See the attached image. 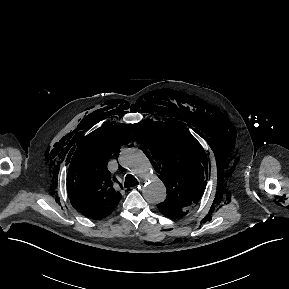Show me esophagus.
<instances>
[{"label":"esophagus","instance_id":"obj_1","mask_svg":"<svg viewBox=\"0 0 289 289\" xmlns=\"http://www.w3.org/2000/svg\"><path fill=\"white\" fill-rule=\"evenodd\" d=\"M140 188H141V184L136 186V187H134V189H140Z\"/></svg>","mask_w":289,"mask_h":289}]
</instances>
